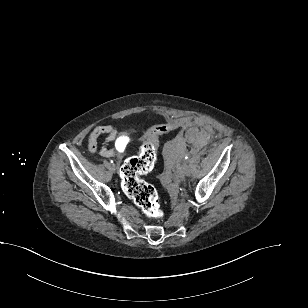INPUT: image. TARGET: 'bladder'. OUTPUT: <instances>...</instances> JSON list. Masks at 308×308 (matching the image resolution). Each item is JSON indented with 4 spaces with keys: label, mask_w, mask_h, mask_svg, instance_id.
Listing matches in <instances>:
<instances>
[{
    "label": "bladder",
    "mask_w": 308,
    "mask_h": 308,
    "mask_svg": "<svg viewBox=\"0 0 308 308\" xmlns=\"http://www.w3.org/2000/svg\"><path fill=\"white\" fill-rule=\"evenodd\" d=\"M124 145V141L123 140H120L119 142H118V146H123Z\"/></svg>",
    "instance_id": "31cf9c89"
}]
</instances>
